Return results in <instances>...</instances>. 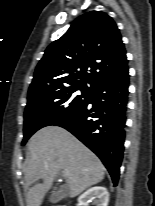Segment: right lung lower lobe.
<instances>
[{
	"mask_svg": "<svg viewBox=\"0 0 155 206\" xmlns=\"http://www.w3.org/2000/svg\"><path fill=\"white\" fill-rule=\"evenodd\" d=\"M128 87L126 67L94 88L88 102L54 124L71 132L101 159L115 186L123 158Z\"/></svg>",
	"mask_w": 155,
	"mask_h": 206,
	"instance_id": "98d812e1",
	"label": "right lung lower lobe"
}]
</instances>
